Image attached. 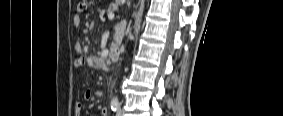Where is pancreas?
<instances>
[{"instance_id":"1","label":"pancreas","mask_w":283,"mask_h":116,"mask_svg":"<svg viewBox=\"0 0 283 116\" xmlns=\"http://www.w3.org/2000/svg\"><path fill=\"white\" fill-rule=\"evenodd\" d=\"M118 8V4L116 3H112L109 5L108 9H107V13L110 14V13H113L115 10H117Z\"/></svg>"}]
</instances>
